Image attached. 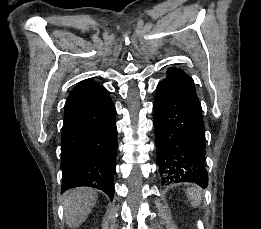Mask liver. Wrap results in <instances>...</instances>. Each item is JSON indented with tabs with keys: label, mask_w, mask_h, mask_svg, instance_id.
Returning a JSON list of instances; mask_svg holds the SVG:
<instances>
[{
	"label": "liver",
	"mask_w": 261,
	"mask_h": 229,
	"mask_svg": "<svg viewBox=\"0 0 261 229\" xmlns=\"http://www.w3.org/2000/svg\"><path fill=\"white\" fill-rule=\"evenodd\" d=\"M98 199L97 189L78 187L63 197L64 215L68 227H79L86 221Z\"/></svg>",
	"instance_id": "obj_1"
}]
</instances>
